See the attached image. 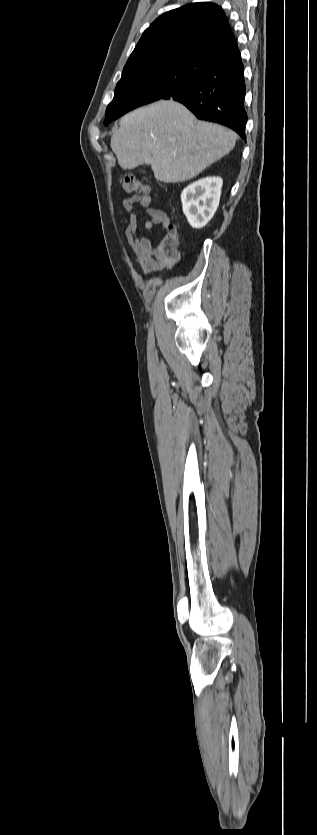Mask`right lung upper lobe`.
I'll use <instances>...</instances> for the list:
<instances>
[{
  "label": "right lung upper lobe",
  "instance_id": "1",
  "mask_svg": "<svg viewBox=\"0 0 317 835\" xmlns=\"http://www.w3.org/2000/svg\"><path fill=\"white\" fill-rule=\"evenodd\" d=\"M234 40L224 11L214 3H191L157 18L143 33L123 75L196 56Z\"/></svg>",
  "mask_w": 317,
  "mask_h": 835
}]
</instances>
